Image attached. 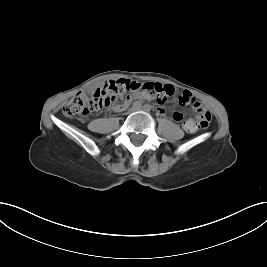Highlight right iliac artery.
Wrapping results in <instances>:
<instances>
[{"instance_id":"1","label":"right iliac artery","mask_w":267,"mask_h":267,"mask_svg":"<svg viewBox=\"0 0 267 267\" xmlns=\"http://www.w3.org/2000/svg\"><path fill=\"white\" fill-rule=\"evenodd\" d=\"M141 106H142V104L140 101H135L133 103V108H135V109H139V108H141Z\"/></svg>"}]
</instances>
